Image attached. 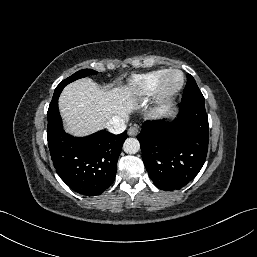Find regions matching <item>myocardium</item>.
<instances>
[{
	"mask_svg": "<svg viewBox=\"0 0 257 257\" xmlns=\"http://www.w3.org/2000/svg\"><path fill=\"white\" fill-rule=\"evenodd\" d=\"M172 74H178L180 76V83L174 88H169L167 83L169 77ZM184 81L185 78L182 71L178 69L168 70L161 78L159 85L155 91V103L158 105H162L174 98L182 90Z\"/></svg>",
	"mask_w": 257,
	"mask_h": 257,
	"instance_id": "1",
	"label": "myocardium"
}]
</instances>
